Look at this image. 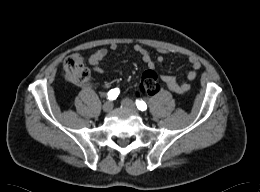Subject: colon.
<instances>
[{
	"label": "colon",
	"mask_w": 260,
	"mask_h": 192,
	"mask_svg": "<svg viewBox=\"0 0 260 192\" xmlns=\"http://www.w3.org/2000/svg\"><path fill=\"white\" fill-rule=\"evenodd\" d=\"M65 70L67 79L83 85L89 83V71L78 58L70 57L66 59Z\"/></svg>",
	"instance_id": "colon-1"
}]
</instances>
